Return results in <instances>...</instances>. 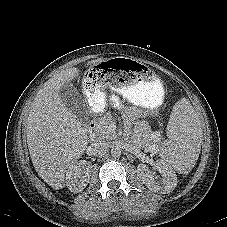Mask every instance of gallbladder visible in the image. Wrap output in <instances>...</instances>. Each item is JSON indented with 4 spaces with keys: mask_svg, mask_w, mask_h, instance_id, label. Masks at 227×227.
Instances as JSON below:
<instances>
[{
    "mask_svg": "<svg viewBox=\"0 0 227 227\" xmlns=\"http://www.w3.org/2000/svg\"><path fill=\"white\" fill-rule=\"evenodd\" d=\"M59 96L63 104L79 118L87 112L85 101L73 84L65 83L59 91Z\"/></svg>",
    "mask_w": 227,
    "mask_h": 227,
    "instance_id": "bac80fb5",
    "label": "gallbladder"
}]
</instances>
